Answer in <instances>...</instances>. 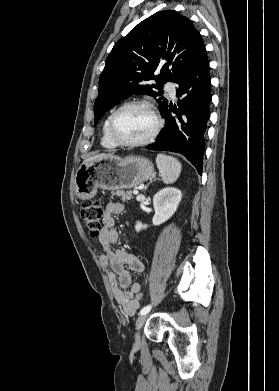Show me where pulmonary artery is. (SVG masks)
<instances>
[{"instance_id": "1", "label": "pulmonary artery", "mask_w": 279, "mask_h": 391, "mask_svg": "<svg viewBox=\"0 0 279 391\" xmlns=\"http://www.w3.org/2000/svg\"><path fill=\"white\" fill-rule=\"evenodd\" d=\"M166 90L170 93L172 97H175L176 85L174 83H167Z\"/></svg>"}]
</instances>
